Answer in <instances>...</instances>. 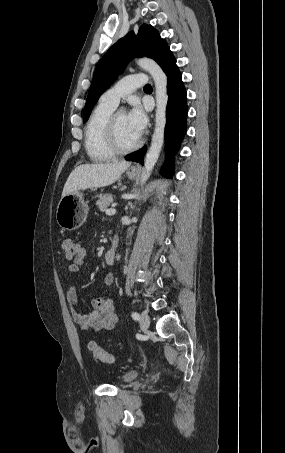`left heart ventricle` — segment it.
I'll return each mask as SVG.
<instances>
[{"label":"left heart ventricle","mask_w":285,"mask_h":453,"mask_svg":"<svg viewBox=\"0 0 285 453\" xmlns=\"http://www.w3.org/2000/svg\"><path fill=\"white\" fill-rule=\"evenodd\" d=\"M116 130L119 143L123 147L131 146L139 139V136L129 124L127 115L125 113L118 115L116 121Z\"/></svg>","instance_id":"1"}]
</instances>
